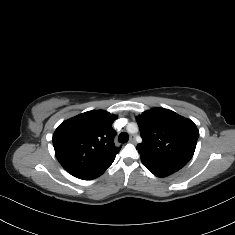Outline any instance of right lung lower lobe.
I'll list each match as a JSON object with an SVG mask.
<instances>
[{
	"instance_id": "obj_1",
	"label": "right lung lower lobe",
	"mask_w": 235,
	"mask_h": 235,
	"mask_svg": "<svg viewBox=\"0 0 235 235\" xmlns=\"http://www.w3.org/2000/svg\"><path fill=\"white\" fill-rule=\"evenodd\" d=\"M102 174H103V173L97 174V175H88V176H85V175H80V176H75V175H73V176H75V177H77V178H79V179H83V180H91V179H95V178L99 177V176L102 175Z\"/></svg>"
}]
</instances>
